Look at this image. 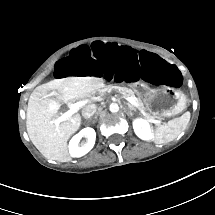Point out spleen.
Returning <instances> with one entry per match:
<instances>
[{
    "instance_id": "spleen-1",
    "label": "spleen",
    "mask_w": 215,
    "mask_h": 215,
    "mask_svg": "<svg viewBox=\"0 0 215 215\" xmlns=\"http://www.w3.org/2000/svg\"><path fill=\"white\" fill-rule=\"evenodd\" d=\"M189 119L190 115L186 112L180 118L169 120L167 125H161L158 127L154 134L155 143H166L177 138L184 126L188 123Z\"/></svg>"
}]
</instances>
